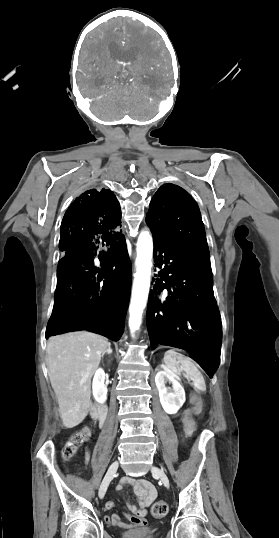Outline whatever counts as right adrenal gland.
Listing matches in <instances>:
<instances>
[{
  "label": "right adrenal gland",
  "instance_id": "2a0ac1e0",
  "mask_svg": "<svg viewBox=\"0 0 279 538\" xmlns=\"http://www.w3.org/2000/svg\"><path fill=\"white\" fill-rule=\"evenodd\" d=\"M107 352H108V354H111V352H112V350H111V348H110V344H109V346H108V350H107Z\"/></svg>",
  "mask_w": 279,
  "mask_h": 538
}]
</instances>
